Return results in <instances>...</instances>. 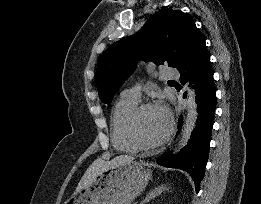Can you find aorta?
<instances>
[{"label":"aorta","mask_w":261,"mask_h":204,"mask_svg":"<svg viewBox=\"0 0 261 204\" xmlns=\"http://www.w3.org/2000/svg\"><path fill=\"white\" fill-rule=\"evenodd\" d=\"M196 95L193 89H188L187 100H186V116L184 118V123L181 131L180 140L178 142L177 151L181 150L184 146L187 145L191 133L195 128L197 120V104H196Z\"/></svg>","instance_id":"obj_1"}]
</instances>
